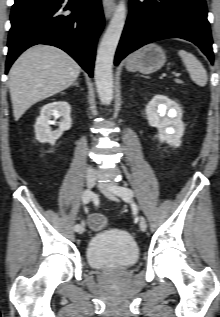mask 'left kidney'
<instances>
[{
  "label": "left kidney",
  "mask_w": 220,
  "mask_h": 317,
  "mask_svg": "<svg viewBox=\"0 0 220 317\" xmlns=\"http://www.w3.org/2000/svg\"><path fill=\"white\" fill-rule=\"evenodd\" d=\"M145 111L149 125L158 129L156 137L160 142L179 147L184 125L176 104L168 97L158 94L148 103Z\"/></svg>",
  "instance_id": "1"
}]
</instances>
